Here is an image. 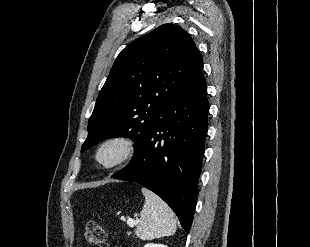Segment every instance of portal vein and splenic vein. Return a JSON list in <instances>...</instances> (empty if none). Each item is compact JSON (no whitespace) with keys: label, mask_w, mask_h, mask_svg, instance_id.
I'll list each match as a JSON object with an SVG mask.
<instances>
[{"label":"portal vein and splenic vein","mask_w":310,"mask_h":247,"mask_svg":"<svg viewBox=\"0 0 310 247\" xmlns=\"http://www.w3.org/2000/svg\"><path fill=\"white\" fill-rule=\"evenodd\" d=\"M138 222H139V220H132V219L127 220V224L130 227H134Z\"/></svg>","instance_id":"portal-vein-and-splenic-vein-1"}]
</instances>
